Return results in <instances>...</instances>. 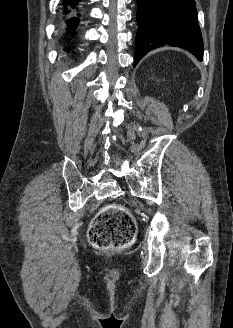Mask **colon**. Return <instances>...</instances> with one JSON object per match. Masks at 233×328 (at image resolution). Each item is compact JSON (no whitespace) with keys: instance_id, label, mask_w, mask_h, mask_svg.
I'll list each match as a JSON object with an SVG mask.
<instances>
[{"instance_id":"1","label":"colon","mask_w":233,"mask_h":328,"mask_svg":"<svg viewBox=\"0 0 233 328\" xmlns=\"http://www.w3.org/2000/svg\"><path fill=\"white\" fill-rule=\"evenodd\" d=\"M136 222L123 206L107 205L95 216L89 228L90 243L99 249H115L128 246L136 235Z\"/></svg>"}]
</instances>
